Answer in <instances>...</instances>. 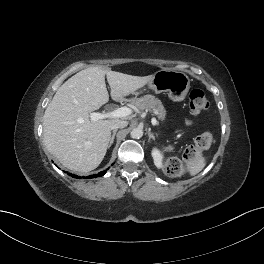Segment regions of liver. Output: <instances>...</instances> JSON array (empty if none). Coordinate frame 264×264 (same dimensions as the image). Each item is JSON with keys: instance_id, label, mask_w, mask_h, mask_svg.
<instances>
[{"instance_id": "obj_1", "label": "liver", "mask_w": 264, "mask_h": 264, "mask_svg": "<svg viewBox=\"0 0 264 264\" xmlns=\"http://www.w3.org/2000/svg\"><path fill=\"white\" fill-rule=\"evenodd\" d=\"M111 98L134 93L148 84L153 75L132 76L103 67L84 69L59 87L43 116L44 143L60 163L73 171L89 172L102 162L118 118L92 121L90 113Z\"/></svg>"}]
</instances>
